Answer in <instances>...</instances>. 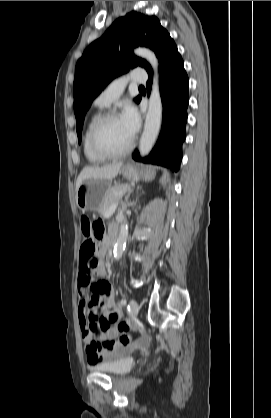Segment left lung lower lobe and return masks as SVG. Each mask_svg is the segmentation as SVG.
<instances>
[{
	"mask_svg": "<svg viewBox=\"0 0 271 418\" xmlns=\"http://www.w3.org/2000/svg\"><path fill=\"white\" fill-rule=\"evenodd\" d=\"M159 63L160 94L163 103L161 133L148 157L142 159L136 151L133 158L137 161L157 164L172 171H178L182 159V143L186 137L189 80L182 57L171 37L168 38L162 49ZM147 72L149 75L147 88L150 93L152 69L150 68Z\"/></svg>",
	"mask_w": 271,
	"mask_h": 418,
	"instance_id": "left-lung-lower-lobe-1",
	"label": "left lung lower lobe"
}]
</instances>
